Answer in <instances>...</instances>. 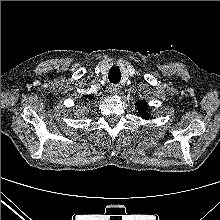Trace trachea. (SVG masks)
I'll list each match as a JSON object with an SVG mask.
<instances>
[{
	"mask_svg": "<svg viewBox=\"0 0 220 220\" xmlns=\"http://www.w3.org/2000/svg\"><path fill=\"white\" fill-rule=\"evenodd\" d=\"M108 78L111 83L117 84L121 79V74L117 67H112L108 73Z\"/></svg>",
	"mask_w": 220,
	"mask_h": 220,
	"instance_id": "1",
	"label": "trachea"
}]
</instances>
